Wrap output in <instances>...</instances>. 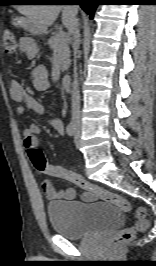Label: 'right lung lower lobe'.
Segmentation results:
<instances>
[{"label": "right lung lower lobe", "instance_id": "right-lung-lower-lobe-1", "mask_svg": "<svg viewBox=\"0 0 156 266\" xmlns=\"http://www.w3.org/2000/svg\"><path fill=\"white\" fill-rule=\"evenodd\" d=\"M60 1H71L74 3H77L81 6V8L90 15V18H93L94 11L96 7L98 6L99 0H60ZM53 3H63V2H53Z\"/></svg>", "mask_w": 156, "mask_h": 266}]
</instances>
